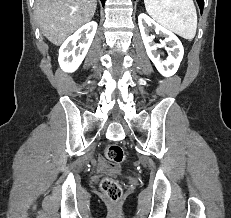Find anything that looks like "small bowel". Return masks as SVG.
Returning <instances> with one entry per match:
<instances>
[{
  "label": "small bowel",
  "mask_w": 231,
  "mask_h": 218,
  "mask_svg": "<svg viewBox=\"0 0 231 218\" xmlns=\"http://www.w3.org/2000/svg\"><path fill=\"white\" fill-rule=\"evenodd\" d=\"M97 167L101 173H118L120 170L119 165L107 161L103 157H99L97 161Z\"/></svg>",
  "instance_id": "c3829d8e"
}]
</instances>
